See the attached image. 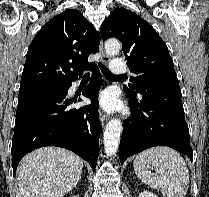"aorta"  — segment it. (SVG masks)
Returning a JSON list of instances; mask_svg holds the SVG:
<instances>
[{"mask_svg":"<svg viewBox=\"0 0 209 197\" xmlns=\"http://www.w3.org/2000/svg\"><path fill=\"white\" fill-rule=\"evenodd\" d=\"M121 44L116 39H109L105 42V50L110 55L119 53ZM122 132V123L120 119H111L106 127L103 134L104 138V149L107 156H113L116 154L120 142Z\"/></svg>","mask_w":209,"mask_h":197,"instance_id":"762f6f07","label":"aorta"}]
</instances>
